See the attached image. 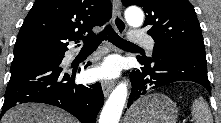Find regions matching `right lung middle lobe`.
Returning a JSON list of instances; mask_svg holds the SVG:
<instances>
[{"label": "right lung middle lobe", "mask_w": 221, "mask_h": 123, "mask_svg": "<svg viewBox=\"0 0 221 123\" xmlns=\"http://www.w3.org/2000/svg\"><path fill=\"white\" fill-rule=\"evenodd\" d=\"M64 57L63 53H31L14 55L11 68L37 62H58Z\"/></svg>", "instance_id": "right-lung-middle-lobe-1"}]
</instances>
